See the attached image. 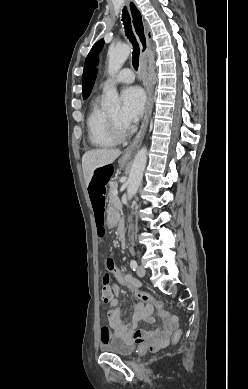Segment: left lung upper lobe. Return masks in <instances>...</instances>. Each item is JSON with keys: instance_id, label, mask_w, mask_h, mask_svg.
I'll return each mask as SVG.
<instances>
[{"instance_id": "obj_1", "label": "left lung upper lobe", "mask_w": 248, "mask_h": 389, "mask_svg": "<svg viewBox=\"0 0 248 389\" xmlns=\"http://www.w3.org/2000/svg\"><path fill=\"white\" fill-rule=\"evenodd\" d=\"M104 45V40L101 39L97 41L92 49L90 50L84 64V72H83V98H87L91 91L92 87L94 85L95 79H96V66L99 63V52L102 50V47Z\"/></svg>"}]
</instances>
